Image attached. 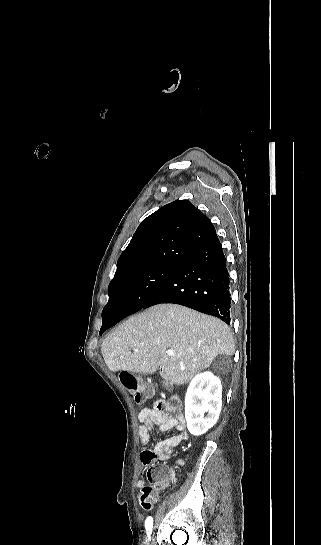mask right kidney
I'll return each instance as SVG.
<instances>
[{
    "instance_id": "right-kidney-1",
    "label": "right kidney",
    "mask_w": 321,
    "mask_h": 545,
    "mask_svg": "<svg viewBox=\"0 0 321 545\" xmlns=\"http://www.w3.org/2000/svg\"><path fill=\"white\" fill-rule=\"evenodd\" d=\"M221 397V381L213 373L207 371L192 379L185 397V419L191 435L199 437L214 427L222 407Z\"/></svg>"
}]
</instances>
